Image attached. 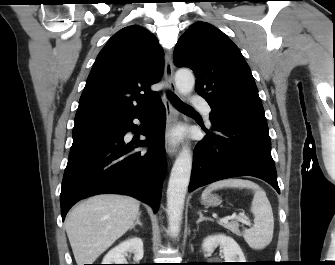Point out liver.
I'll use <instances>...</instances> for the list:
<instances>
[{
  "label": "liver",
  "mask_w": 335,
  "mask_h": 265,
  "mask_svg": "<svg viewBox=\"0 0 335 265\" xmlns=\"http://www.w3.org/2000/svg\"><path fill=\"white\" fill-rule=\"evenodd\" d=\"M139 202L129 196L101 194L68 214L65 229L77 265L92 264L134 224Z\"/></svg>",
  "instance_id": "1"
}]
</instances>
